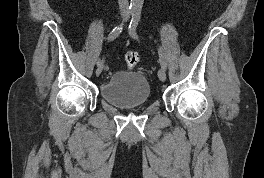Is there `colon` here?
I'll use <instances>...</instances> for the list:
<instances>
[{"mask_svg":"<svg viewBox=\"0 0 264 178\" xmlns=\"http://www.w3.org/2000/svg\"><path fill=\"white\" fill-rule=\"evenodd\" d=\"M125 65L132 69L139 63V55L137 52L128 51L124 56Z\"/></svg>","mask_w":264,"mask_h":178,"instance_id":"obj_1","label":"colon"}]
</instances>
